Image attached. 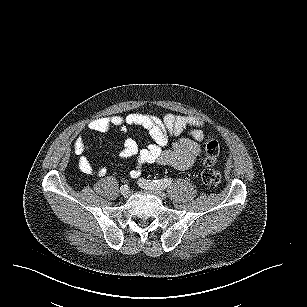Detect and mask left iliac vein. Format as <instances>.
Segmentation results:
<instances>
[{
  "mask_svg": "<svg viewBox=\"0 0 307 307\" xmlns=\"http://www.w3.org/2000/svg\"><path fill=\"white\" fill-rule=\"evenodd\" d=\"M147 189H150L151 191H153L158 197H160L163 200L166 199L167 197L164 192L160 191L156 187H148Z\"/></svg>",
  "mask_w": 307,
  "mask_h": 307,
  "instance_id": "obj_1",
  "label": "left iliac vein"
}]
</instances>
